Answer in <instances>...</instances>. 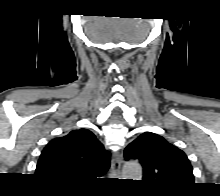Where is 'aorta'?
<instances>
[{"label": "aorta", "instance_id": "obj_1", "mask_svg": "<svg viewBox=\"0 0 220 196\" xmlns=\"http://www.w3.org/2000/svg\"><path fill=\"white\" fill-rule=\"evenodd\" d=\"M123 179L139 180L142 177V168L136 161H128L124 164L122 170Z\"/></svg>", "mask_w": 220, "mask_h": 196}]
</instances>
